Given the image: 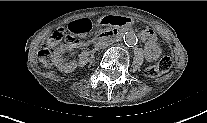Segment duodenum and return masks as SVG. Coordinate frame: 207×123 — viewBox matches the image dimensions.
<instances>
[{
  "mask_svg": "<svg viewBox=\"0 0 207 123\" xmlns=\"http://www.w3.org/2000/svg\"><path fill=\"white\" fill-rule=\"evenodd\" d=\"M119 35H120V32L118 30H116V29L109 30V31L102 32V33L98 34L94 38L93 42L106 41V40L115 38V37H117Z\"/></svg>",
  "mask_w": 207,
  "mask_h": 123,
  "instance_id": "1",
  "label": "duodenum"
}]
</instances>
